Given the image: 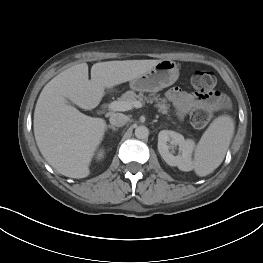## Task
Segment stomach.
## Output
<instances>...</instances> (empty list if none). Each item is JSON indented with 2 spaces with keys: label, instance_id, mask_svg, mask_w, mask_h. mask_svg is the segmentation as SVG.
<instances>
[{
  "label": "stomach",
  "instance_id": "0dacf381",
  "mask_svg": "<svg viewBox=\"0 0 263 263\" xmlns=\"http://www.w3.org/2000/svg\"><path fill=\"white\" fill-rule=\"evenodd\" d=\"M179 77L176 63L160 60L155 66L130 81V88L138 92H158L174 84Z\"/></svg>",
  "mask_w": 263,
  "mask_h": 263
}]
</instances>
